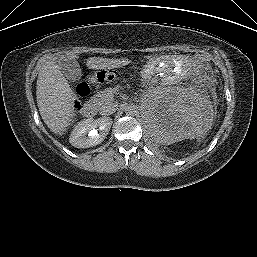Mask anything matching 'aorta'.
Here are the masks:
<instances>
[{"mask_svg": "<svg viewBox=\"0 0 257 257\" xmlns=\"http://www.w3.org/2000/svg\"><path fill=\"white\" fill-rule=\"evenodd\" d=\"M124 111L127 116H135L138 113V108L135 104H127Z\"/></svg>", "mask_w": 257, "mask_h": 257, "instance_id": "762f6f07", "label": "aorta"}]
</instances>
